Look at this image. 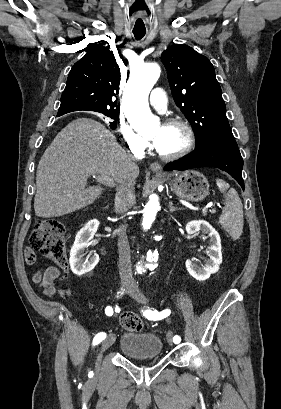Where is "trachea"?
<instances>
[{"instance_id":"trachea-1","label":"trachea","mask_w":281,"mask_h":409,"mask_svg":"<svg viewBox=\"0 0 281 409\" xmlns=\"http://www.w3.org/2000/svg\"><path fill=\"white\" fill-rule=\"evenodd\" d=\"M146 32H133L134 37L136 40H141L145 36Z\"/></svg>"}]
</instances>
